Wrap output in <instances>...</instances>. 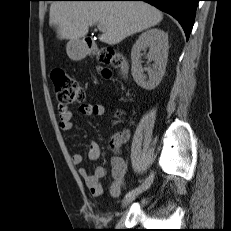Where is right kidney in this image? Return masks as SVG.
<instances>
[{
    "mask_svg": "<svg viewBox=\"0 0 231 231\" xmlns=\"http://www.w3.org/2000/svg\"><path fill=\"white\" fill-rule=\"evenodd\" d=\"M147 48H149L148 60L153 61L154 64L152 67L143 68L141 51H146ZM167 59L168 34L160 29H150L142 33L131 51V71L137 85L146 90L154 89L162 80ZM144 71L148 72V79Z\"/></svg>",
    "mask_w": 231,
    "mask_h": 231,
    "instance_id": "right-kidney-1",
    "label": "right kidney"
}]
</instances>
